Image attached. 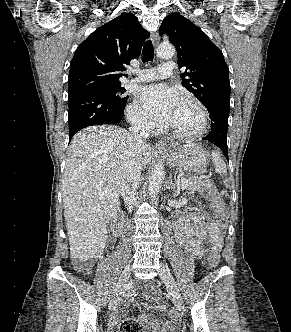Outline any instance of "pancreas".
<instances>
[{
	"instance_id": "1",
	"label": "pancreas",
	"mask_w": 291,
	"mask_h": 332,
	"mask_svg": "<svg viewBox=\"0 0 291 332\" xmlns=\"http://www.w3.org/2000/svg\"><path fill=\"white\" fill-rule=\"evenodd\" d=\"M188 180L189 183L186 189L190 192L200 191L203 188V186H205L209 182V178L204 176L193 177ZM182 181H184V179Z\"/></svg>"
}]
</instances>
